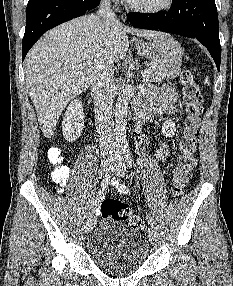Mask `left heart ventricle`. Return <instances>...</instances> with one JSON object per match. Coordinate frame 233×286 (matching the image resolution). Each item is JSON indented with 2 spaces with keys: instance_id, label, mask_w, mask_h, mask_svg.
Listing matches in <instances>:
<instances>
[{
  "instance_id": "b2bd125f",
  "label": "left heart ventricle",
  "mask_w": 233,
  "mask_h": 286,
  "mask_svg": "<svg viewBox=\"0 0 233 286\" xmlns=\"http://www.w3.org/2000/svg\"><path fill=\"white\" fill-rule=\"evenodd\" d=\"M164 0H133L137 5L144 6V7H156L163 3Z\"/></svg>"
}]
</instances>
